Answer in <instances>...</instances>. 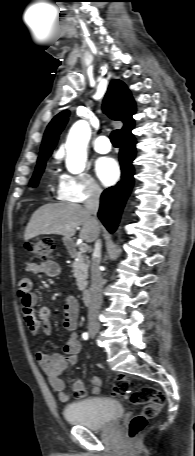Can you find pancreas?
Segmentation results:
<instances>
[{"instance_id": "obj_1", "label": "pancreas", "mask_w": 195, "mask_h": 456, "mask_svg": "<svg viewBox=\"0 0 195 456\" xmlns=\"http://www.w3.org/2000/svg\"><path fill=\"white\" fill-rule=\"evenodd\" d=\"M70 255L74 258L72 263L73 275L80 291H85L87 287L89 259L82 252L71 251Z\"/></svg>"}]
</instances>
